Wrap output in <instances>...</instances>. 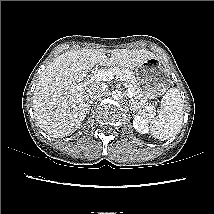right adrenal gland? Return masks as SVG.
I'll return each instance as SVG.
<instances>
[{"label": "right adrenal gland", "instance_id": "1", "mask_svg": "<svg viewBox=\"0 0 214 214\" xmlns=\"http://www.w3.org/2000/svg\"><path fill=\"white\" fill-rule=\"evenodd\" d=\"M93 104V102L92 101H90V105L89 106H91ZM89 109H91V107H89Z\"/></svg>", "mask_w": 214, "mask_h": 214}]
</instances>
